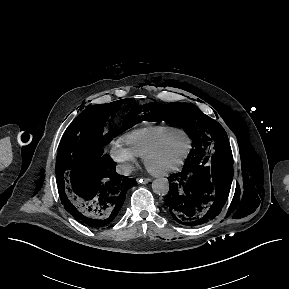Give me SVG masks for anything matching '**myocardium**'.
Returning a JSON list of instances; mask_svg holds the SVG:
<instances>
[{
  "label": "myocardium",
  "instance_id": "f54148a6",
  "mask_svg": "<svg viewBox=\"0 0 289 289\" xmlns=\"http://www.w3.org/2000/svg\"><path fill=\"white\" fill-rule=\"evenodd\" d=\"M176 136H182L186 139V149L185 152L183 153L182 157L179 159L178 162H176L175 164L167 167V168H163V169H155L151 166V160L152 158L157 155L163 148L164 146L173 138H175ZM192 149V145H191V139L189 138V136L181 131L178 130L176 132H174L173 134H171L170 136L166 137L164 140H162L160 143H158L157 145H155L154 147H152L144 156H143V163L146 167V169L154 176H164V175H168L174 172L179 171L180 169H182V167L185 165V163L187 162L190 152Z\"/></svg>",
  "mask_w": 289,
  "mask_h": 289
}]
</instances>
